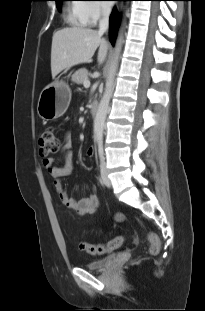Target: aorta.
Instances as JSON below:
<instances>
[{
    "label": "aorta",
    "instance_id": "1",
    "mask_svg": "<svg viewBox=\"0 0 205 311\" xmlns=\"http://www.w3.org/2000/svg\"><path fill=\"white\" fill-rule=\"evenodd\" d=\"M121 47H122V41L120 37H118L116 41V45H115V56L108 70L106 89L100 101L99 108L94 119V137L97 142H102L103 140L105 119H106V115H107V111L109 107L110 98L114 90V80H115V75H116V71L118 67V59H119Z\"/></svg>",
    "mask_w": 205,
    "mask_h": 311
}]
</instances>
